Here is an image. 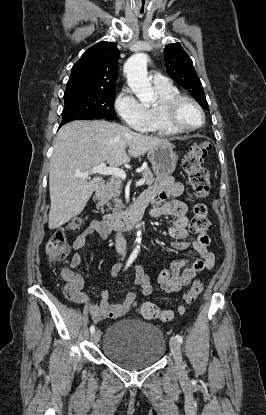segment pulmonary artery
Masks as SVG:
<instances>
[{
  "mask_svg": "<svg viewBox=\"0 0 266 415\" xmlns=\"http://www.w3.org/2000/svg\"><path fill=\"white\" fill-rule=\"evenodd\" d=\"M152 81H153V83L154 84H156V85H159V84H166V83H168L169 81H168V79L165 77V76H163V75H161V74H159V73H155L154 75H153V79H152Z\"/></svg>",
  "mask_w": 266,
  "mask_h": 415,
  "instance_id": "1",
  "label": "pulmonary artery"
}]
</instances>
